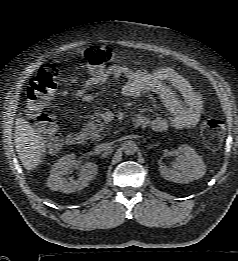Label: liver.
<instances>
[{"instance_id":"1","label":"liver","mask_w":238,"mask_h":261,"mask_svg":"<svg viewBox=\"0 0 238 261\" xmlns=\"http://www.w3.org/2000/svg\"><path fill=\"white\" fill-rule=\"evenodd\" d=\"M15 147L23 167L31 171L42 162L45 152L43 137L24 118L15 121Z\"/></svg>"}]
</instances>
